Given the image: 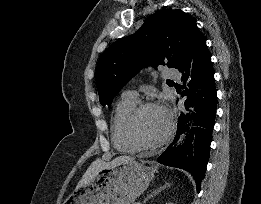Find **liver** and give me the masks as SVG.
Listing matches in <instances>:
<instances>
[{"label":"liver","mask_w":261,"mask_h":204,"mask_svg":"<svg viewBox=\"0 0 261 204\" xmlns=\"http://www.w3.org/2000/svg\"><path fill=\"white\" fill-rule=\"evenodd\" d=\"M132 160H134V158H132L130 156H119V157H116L115 159H113L110 162H105L101 159H97L86 170V172L82 176V178L79 181L77 186L83 187V186L88 185L94 179L97 172L101 169L114 167V166H117L121 163L132 161Z\"/></svg>","instance_id":"obj_1"}]
</instances>
